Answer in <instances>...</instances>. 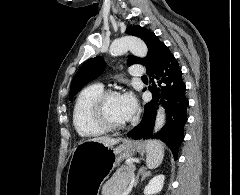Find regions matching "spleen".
<instances>
[{
    "instance_id": "obj_1",
    "label": "spleen",
    "mask_w": 240,
    "mask_h": 195,
    "mask_svg": "<svg viewBox=\"0 0 240 195\" xmlns=\"http://www.w3.org/2000/svg\"><path fill=\"white\" fill-rule=\"evenodd\" d=\"M164 157V145L158 139H149L147 141L146 163L149 169H155L162 163Z\"/></svg>"
}]
</instances>
